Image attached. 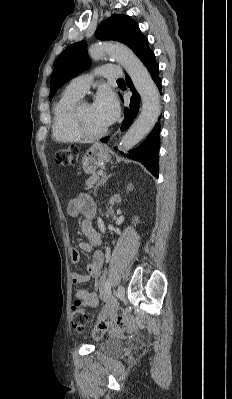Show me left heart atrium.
<instances>
[{
    "label": "left heart atrium",
    "mask_w": 232,
    "mask_h": 399,
    "mask_svg": "<svg viewBox=\"0 0 232 399\" xmlns=\"http://www.w3.org/2000/svg\"><path fill=\"white\" fill-rule=\"evenodd\" d=\"M92 112L107 127L112 125L119 116V106L110 93L101 94L91 106Z\"/></svg>",
    "instance_id": "left-heart-atrium-1"
}]
</instances>
